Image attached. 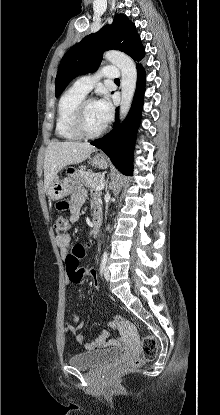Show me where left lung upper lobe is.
Here are the masks:
<instances>
[{
	"label": "left lung upper lobe",
	"mask_w": 220,
	"mask_h": 415,
	"mask_svg": "<svg viewBox=\"0 0 220 415\" xmlns=\"http://www.w3.org/2000/svg\"><path fill=\"white\" fill-rule=\"evenodd\" d=\"M109 49L123 51L135 61H140L145 55L135 25L124 14L116 15L111 25L86 36L66 52L55 79L56 97L73 78L97 70L103 52Z\"/></svg>",
	"instance_id": "5c2ea615"
}]
</instances>
